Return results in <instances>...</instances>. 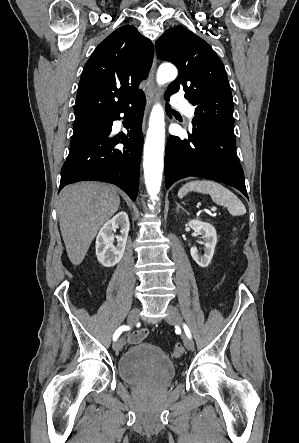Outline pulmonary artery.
<instances>
[{"mask_svg": "<svg viewBox=\"0 0 299 443\" xmlns=\"http://www.w3.org/2000/svg\"><path fill=\"white\" fill-rule=\"evenodd\" d=\"M171 103L177 109H179L187 118L193 119L194 108L186 101V99L182 95L178 93L173 94L171 97Z\"/></svg>", "mask_w": 299, "mask_h": 443, "instance_id": "obj_1", "label": "pulmonary artery"}]
</instances>
